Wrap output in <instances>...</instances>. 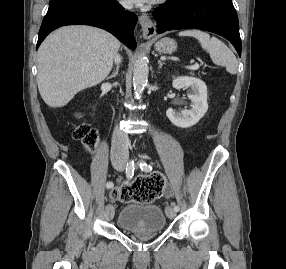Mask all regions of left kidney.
<instances>
[{
  "label": "left kidney",
  "mask_w": 286,
  "mask_h": 269,
  "mask_svg": "<svg viewBox=\"0 0 286 269\" xmlns=\"http://www.w3.org/2000/svg\"><path fill=\"white\" fill-rule=\"evenodd\" d=\"M172 86L176 89L191 88L192 93L188 98L192 101L190 110L176 112L172 108L166 111L168 119L177 127L188 128L195 125L207 112V87L206 84L194 77L182 76L173 80Z\"/></svg>",
  "instance_id": "left-kidney-1"
}]
</instances>
